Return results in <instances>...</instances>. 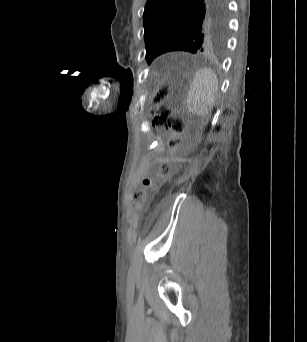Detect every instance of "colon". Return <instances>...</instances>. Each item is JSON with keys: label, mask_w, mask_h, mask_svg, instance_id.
<instances>
[{"label": "colon", "mask_w": 307, "mask_h": 342, "mask_svg": "<svg viewBox=\"0 0 307 342\" xmlns=\"http://www.w3.org/2000/svg\"><path fill=\"white\" fill-rule=\"evenodd\" d=\"M151 93L155 94L154 103L156 108L153 110V122L154 125L159 129H165L169 131L170 137L168 144L173 150L181 143V134L186 130L185 122L173 114L170 109L164 104L167 94H171V87H152ZM171 175V166L168 162L162 163L159 167V178H167ZM143 188L148 189L152 192L158 190L157 182L151 178L146 177L143 182ZM136 200H142L144 204L148 203V196L145 190H137L134 193Z\"/></svg>", "instance_id": "5ec220e1"}]
</instances>
